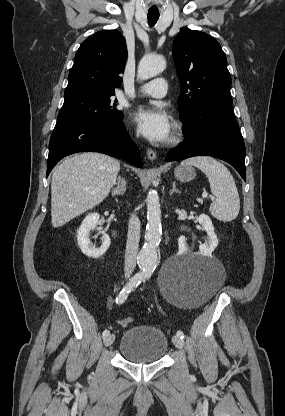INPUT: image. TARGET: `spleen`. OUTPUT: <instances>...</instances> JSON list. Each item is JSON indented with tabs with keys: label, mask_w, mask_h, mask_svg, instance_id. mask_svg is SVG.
Returning a JSON list of instances; mask_svg holds the SVG:
<instances>
[{
	"label": "spleen",
	"mask_w": 285,
	"mask_h": 416,
	"mask_svg": "<svg viewBox=\"0 0 285 416\" xmlns=\"http://www.w3.org/2000/svg\"><path fill=\"white\" fill-rule=\"evenodd\" d=\"M181 166H195L204 172L210 184L215 202L210 204V212L220 222H232L239 214L240 200L236 184L227 168L209 156H197L183 160Z\"/></svg>",
	"instance_id": "1"
}]
</instances>
